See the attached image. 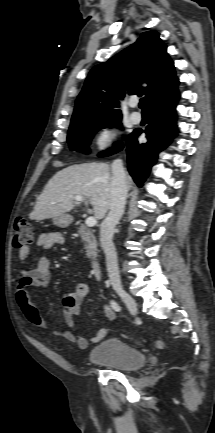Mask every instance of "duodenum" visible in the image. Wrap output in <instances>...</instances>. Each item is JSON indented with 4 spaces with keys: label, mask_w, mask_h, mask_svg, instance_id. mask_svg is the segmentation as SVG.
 I'll use <instances>...</instances> for the list:
<instances>
[{
    "label": "duodenum",
    "mask_w": 215,
    "mask_h": 433,
    "mask_svg": "<svg viewBox=\"0 0 215 433\" xmlns=\"http://www.w3.org/2000/svg\"><path fill=\"white\" fill-rule=\"evenodd\" d=\"M91 269H92L94 278L97 281H100L102 279V269H101L100 263L98 261H94L92 263Z\"/></svg>",
    "instance_id": "1"
}]
</instances>
